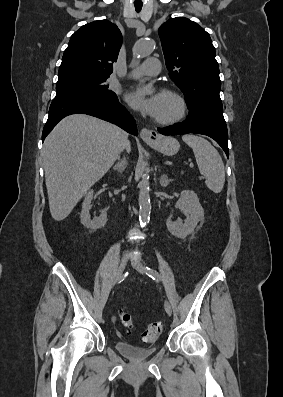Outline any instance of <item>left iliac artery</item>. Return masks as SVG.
Here are the masks:
<instances>
[{
	"mask_svg": "<svg viewBox=\"0 0 283 397\" xmlns=\"http://www.w3.org/2000/svg\"><path fill=\"white\" fill-rule=\"evenodd\" d=\"M145 272L153 280L161 281V276L159 275V273L156 270L149 268V267H145Z\"/></svg>",
	"mask_w": 283,
	"mask_h": 397,
	"instance_id": "obj_1",
	"label": "left iliac artery"
}]
</instances>
